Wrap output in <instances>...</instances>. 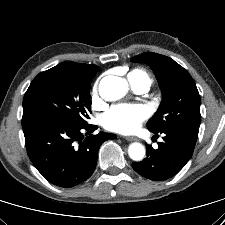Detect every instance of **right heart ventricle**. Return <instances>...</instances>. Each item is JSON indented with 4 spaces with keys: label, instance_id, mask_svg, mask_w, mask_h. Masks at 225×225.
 Listing matches in <instances>:
<instances>
[{
    "label": "right heart ventricle",
    "instance_id": "obj_1",
    "mask_svg": "<svg viewBox=\"0 0 225 225\" xmlns=\"http://www.w3.org/2000/svg\"><path fill=\"white\" fill-rule=\"evenodd\" d=\"M128 79L130 82H143L147 83L149 86L152 83L150 75L143 69H134L128 74Z\"/></svg>",
    "mask_w": 225,
    "mask_h": 225
}]
</instances>
